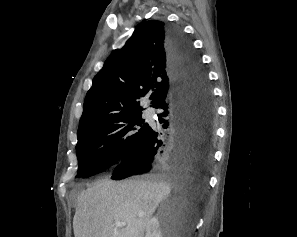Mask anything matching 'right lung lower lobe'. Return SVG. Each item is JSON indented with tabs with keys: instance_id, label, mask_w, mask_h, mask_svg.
I'll return each mask as SVG.
<instances>
[{
	"instance_id": "right-lung-lower-lobe-1",
	"label": "right lung lower lobe",
	"mask_w": 297,
	"mask_h": 237,
	"mask_svg": "<svg viewBox=\"0 0 297 237\" xmlns=\"http://www.w3.org/2000/svg\"><path fill=\"white\" fill-rule=\"evenodd\" d=\"M167 49L174 89L157 108L168 132L150 130L141 144L122 159L111 178L147 173L207 174L212 162L215 107L210 84L198 55L182 30L167 27ZM163 135V136H162Z\"/></svg>"
}]
</instances>
